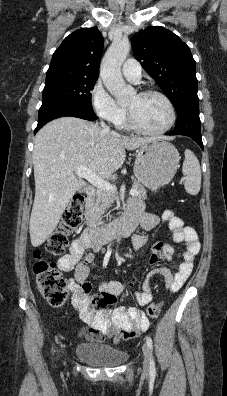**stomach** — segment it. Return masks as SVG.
I'll return each instance as SVG.
<instances>
[{"mask_svg": "<svg viewBox=\"0 0 227 396\" xmlns=\"http://www.w3.org/2000/svg\"><path fill=\"white\" fill-rule=\"evenodd\" d=\"M179 159V152L172 144L153 140L136 151L134 175L139 183L155 191L172 180Z\"/></svg>", "mask_w": 227, "mask_h": 396, "instance_id": "1", "label": "stomach"}]
</instances>
